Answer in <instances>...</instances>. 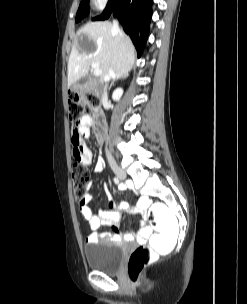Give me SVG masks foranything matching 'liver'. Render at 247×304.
I'll return each instance as SVG.
<instances>
[{
	"instance_id": "liver-1",
	"label": "liver",
	"mask_w": 247,
	"mask_h": 304,
	"mask_svg": "<svg viewBox=\"0 0 247 304\" xmlns=\"http://www.w3.org/2000/svg\"><path fill=\"white\" fill-rule=\"evenodd\" d=\"M81 40H86L84 46ZM135 48L122 31H114L108 21L91 22L76 35L68 61V87L87 75L92 63H98L102 71L100 81H105L110 68L116 77L128 76L134 65Z\"/></svg>"
}]
</instances>
